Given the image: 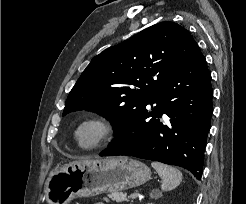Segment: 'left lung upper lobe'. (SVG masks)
Wrapping results in <instances>:
<instances>
[{"instance_id":"left-lung-upper-lobe-1","label":"left lung upper lobe","mask_w":246,"mask_h":204,"mask_svg":"<svg viewBox=\"0 0 246 204\" xmlns=\"http://www.w3.org/2000/svg\"><path fill=\"white\" fill-rule=\"evenodd\" d=\"M196 47L185 28L161 22L104 50L93 57L70 91L62 116L95 111L110 120L118 134Z\"/></svg>"}]
</instances>
